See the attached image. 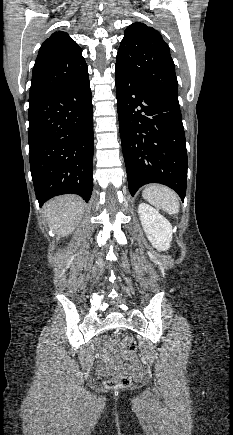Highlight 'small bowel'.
Masks as SVG:
<instances>
[{
	"label": "small bowel",
	"mask_w": 233,
	"mask_h": 435,
	"mask_svg": "<svg viewBox=\"0 0 233 435\" xmlns=\"http://www.w3.org/2000/svg\"><path fill=\"white\" fill-rule=\"evenodd\" d=\"M101 359L97 364V371L106 375L120 370L140 372L141 367L135 356L118 357L115 349L110 345V341L104 338L100 342Z\"/></svg>",
	"instance_id": "1"
}]
</instances>
